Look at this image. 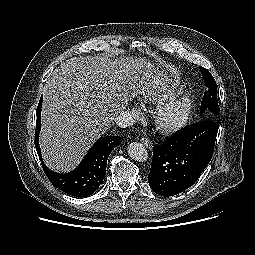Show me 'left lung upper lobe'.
Instances as JSON below:
<instances>
[{
    "label": "left lung upper lobe",
    "instance_id": "5c2ea615",
    "mask_svg": "<svg viewBox=\"0 0 255 255\" xmlns=\"http://www.w3.org/2000/svg\"><path fill=\"white\" fill-rule=\"evenodd\" d=\"M201 73L204 78V83L206 87H208L207 92H205L202 103H201V114H203L206 110L210 111L213 115H219V106H218V99H217V84L211 75V73L203 68L199 67Z\"/></svg>",
    "mask_w": 255,
    "mask_h": 255
}]
</instances>
